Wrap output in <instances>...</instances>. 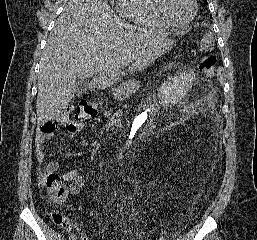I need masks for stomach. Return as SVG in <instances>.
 <instances>
[{"label": "stomach", "mask_w": 257, "mask_h": 240, "mask_svg": "<svg viewBox=\"0 0 257 240\" xmlns=\"http://www.w3.org/2000/svg\"><path fill=\"white\" fill-rule=\"evenodd\" d=\"M175 42L171 39H164L149 49L135 64V69H143L151 65L157 58L171 50Z\"/></svg>", "instance_id": "1"}]
</instances>
